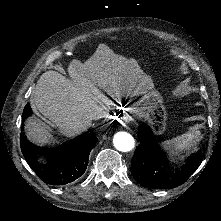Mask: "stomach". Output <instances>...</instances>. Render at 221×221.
Listing matches in <instances>:
<instances>
[{
	"label": "stomach",
	"mask_w": 221,
	"mask_h": 221,
	"mask_svg": "<svg viewBox=\"0 0 221 221\" xmlns=\"http://www.w3.org/2000/svg\"><path fill=\"white\" fill-rule=\"evenodd\" d=\"M161 102V95L159 93L145 90L141 93L139 100L129 108L125 115L128 118H143L156 134L161 135L166 129L167 120V113L164 106L160 105Z\"/></svg>",
	"instance_id": "stomach-1"
}]
</instances>
